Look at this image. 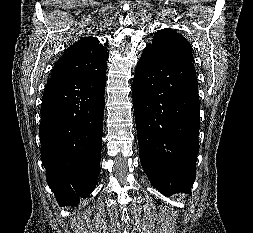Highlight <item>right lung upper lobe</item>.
Wrapping results in <instances>:
<instances>
[{
	"mask_svg": "<svg viewBox=\"0 0 253 233\" xmlns=\"http://www.w3.org/2000/svg\"><path fill=\"white\" fill-rule=\"evenodd\" d=\"M108 54L99 40L85 37L72 44L56 62L52 76H68L95 72L106 68Z\"/></svg>",
	"mask_w": 253,
	"mask_h": 233,
	"instance_id": "right-lung-upper-lobe-1",
	"label": "right lung upper lobe"
}]
</instances>
